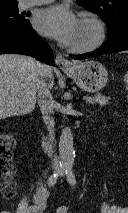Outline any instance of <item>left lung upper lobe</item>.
<instances>
[{"mask_svg": "<svg viewBox=\"0 0 128 213\" xmlns=\"http://www.w3.org/2000/svg\"><path fill=\"white\" fill-rule=\"evenodd\" d=\"M107 23L108 34L128 25V0H77Z\"/></svg>", "mask_w": 128, "mask_h": 213, "instance_id": "1", "label": "left lung upper lobe"}]
</instances>
